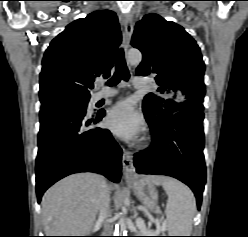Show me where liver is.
Listing matches in <instances>:
<instances>
[{"mask_svg":"<svg viewBox=\"0 0 248 237\" xmlns=\"http://www.w3.org/2000/svg\"><path fill=\"white\" fill-rule=\"evenodd\" d=\"M154 184L165 177L148 176ZM103 178L94 173L68 176L49 188L41 201L46 236L88 234L99 210ZM111 188H113L111 186Z\"/></svg>","mask_w":248,"mask_h":237,"instance_id":"6515ba94","label":"liver"}]
</instances>
